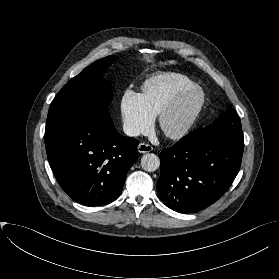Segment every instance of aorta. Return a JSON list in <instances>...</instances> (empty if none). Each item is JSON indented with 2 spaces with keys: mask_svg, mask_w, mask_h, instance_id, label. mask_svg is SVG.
<instances>
[{
  "mask_svg": "<svg viewBox=\"0 0 279 279\" xmlns=\"http://www.w3.org/2000/svg\"><path fill=\"white\" fill-rule=\"evenodd\" d=\"M141 166L145 171H156L160 166V159L153 153H146L141 158Z\"/></svg>",
  "mask_w": 279,
  "mask_h": 279,
  "instance_id": "762f6f07",
  "label": "aorta"
}]
</instances>
